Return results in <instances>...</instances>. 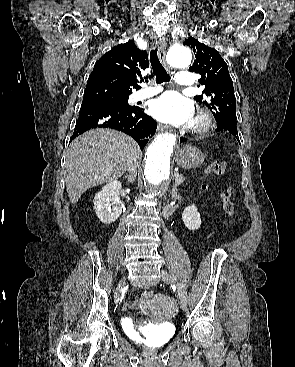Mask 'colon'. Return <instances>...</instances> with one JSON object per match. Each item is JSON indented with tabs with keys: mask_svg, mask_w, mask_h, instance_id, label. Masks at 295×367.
Masks as SVG:
<instances>
[{
	"mask_svg": "<svg viewBox=\"0 0 295 367\" xmlns=\"http://www.w3.org/2000/svg\"><path fill=\"white\" fill-rule=\"evenodd\" d=\"M226 171V163L224 161H214L207 165L205 172L208 175L216 176L221 175ZM202 188L207 189L208 184H202ZM221 200L223 204L224 211L232 216L234 214V204L231 200V192L229 190H224L221 193ZM151 296V292H144L142 297L148 298Z\"/></svg>",
	"mask_w": 295,
	"mask_h": 367,
	"instance_id": "obj_1",
	"label": "colon"
}]
</instances>
